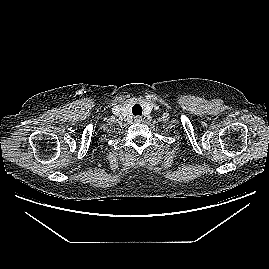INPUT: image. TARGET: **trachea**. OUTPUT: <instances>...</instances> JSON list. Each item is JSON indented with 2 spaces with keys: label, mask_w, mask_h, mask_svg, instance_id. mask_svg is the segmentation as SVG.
<instances>
[{
  "label": "trachea",
  "mask_w": 269,
  "mask_h": 269,
  "mask_svg": "<svg viewBox=\"0 0 269 269\" xmlns=\"http://www.w3.org/2000/svg\"><path fill=\"white\" fill-rule=\"evenodd\" d=\"M132 113L133 115H141L142 114V107L140 104H135L132 107Z\"/></svg>",
  "instance_id": "obj_1"
}]
</instances>
